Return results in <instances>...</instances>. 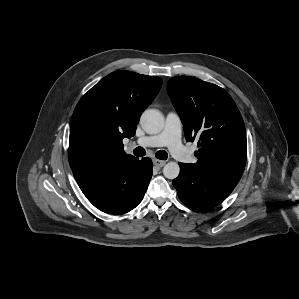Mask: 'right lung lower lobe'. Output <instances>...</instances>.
<instances>
[{"label":"right lung lower lobe","instance_id":"98d812e1","mask_svg":"<svg viewBox=\"0 0 299 299\" xmlns=\"http://www.w3.org/2000/svg\"><path fill=\"white\" fill-rule=\"evenodd\" d=\"M150 158H130L97 169L72 170L87 199L101 211L119 215L134 209L143 199L152 177Z\"/></svg>","mask_w":299,"mask_h":299}]
</instances>
